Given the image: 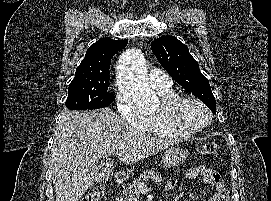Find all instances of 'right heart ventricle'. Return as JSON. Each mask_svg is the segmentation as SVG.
Listing matches in <instances>:
<instances>
[{"label": "right heart ventricle", "mask_w": 271, "mask_h": 201, "mask_svg": "<svg viewBox=\"0 0 271 201\" xmlns=\"http://www.w3.org/2000/svg\"><path fill=\"white\" fill-rule=\"evenodd\" d=\"M157 92L161 99L177 95L172 87L158 88ZM142 130L156 137L167 139H183L193 134L173 127L159 113L148 116L147 123L142 127Z\"/></svg>", "instance_id": "e07e8e85"}]
</instances>
